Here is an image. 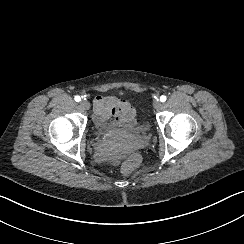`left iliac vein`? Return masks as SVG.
I'll return each instance as SVG.
<instances>
[{
	"label": "left iliac vein",
	"instance_id": "1",
	"mask_svg": "<svg viewBox=\"0 0 244 244\" xmlns=\"http://www.w3.org/2000/svg\"><path fill=\"white\" fill-rule=\"evenodd\" d=\"M162 107H163V104H162L161 102H159V101H155V102L153 103V108H154L155 110H160Z\"/></svg>",
	"mask_w": 244,
	"mask_h": 244
}]
</instances>
